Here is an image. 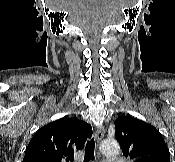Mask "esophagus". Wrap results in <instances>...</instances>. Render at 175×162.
Wrapping results in <instances>:
<instances>
[{
    "label": "esophagus",
    "instance_id": "esophagus-1",
    "mask_svg": "<svg viewBox=\"0 0 175 162\" xmlns=\"http://www.w3.org/2000/svg\"><path fill=\"white\" fill-rule=\"evenodd\" d=\"M104 133H105L104 127L102 125H99L95 131L97 147H99V144L104 137Z\"/></svg>",
    "mask_w": 175,
    "mask_h": 162
}]
</instances>
